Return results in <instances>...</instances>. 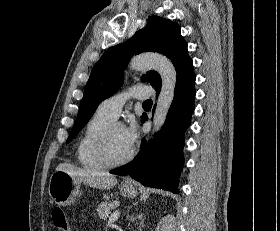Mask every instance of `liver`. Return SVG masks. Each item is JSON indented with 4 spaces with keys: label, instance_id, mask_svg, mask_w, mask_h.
I'll use <instances>...</instances> for the list:
<instances>
[{
    "label": "liver",
    "instance_id": "liver-1",
    "mask_svg": "<svg viewBox=\"0 0 280 231\" xmlns=\"http://www.w3.org/2000/svg\"><path fill=\"white\" fill-rule=\"evenodd\" d=\"M56 171H66L73 179H79V181L87 183L90 187H99V189H111L117 183L115 175H107V173H99V171H89V169H80V167H74L71 163H59Z\"/></svg>",
    "mask_w": 280,
    "mask_h": 231
}]
</instances>
